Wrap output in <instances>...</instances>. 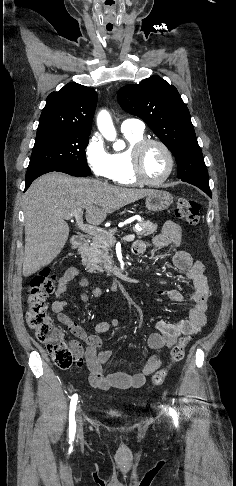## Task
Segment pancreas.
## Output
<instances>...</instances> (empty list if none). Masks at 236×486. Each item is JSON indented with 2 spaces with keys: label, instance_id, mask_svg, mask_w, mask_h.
Segmentation results:
<instances>
[{
  "label": "pancreas",
  "instance_id": "obj_1",
  "mask_svg": "<svg viewBox=\"0 0 236 486\" xmlns=\"http://www.w3.org/2000/svg\"><path fill=\"white\" fill-rule=\"evenodd\" d=\"M139 225L142 228L141 231H136L139 237L151 235L157 230L156 224L144 219L139 221ZM115 232L111 230L103 238H92L87 252L82 255V264L86 266L88 272H107L108 276L113 272L109 250L115 243L113 237Z\"/></svg>",
  "mask_w": 236,
  "mask_h": 486
}]
</instances>
